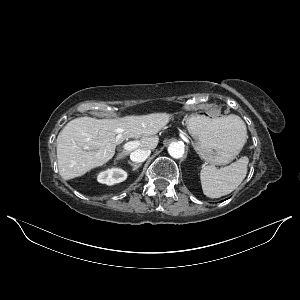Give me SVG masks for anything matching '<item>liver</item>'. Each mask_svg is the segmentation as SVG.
Listing matches in <instances>:
<instances>
[{"label": "liver", "instance_id": "obj_1", "mask_svg": "<svg viewBox=\"0 0 300 300\" xmlns=\"http://www.w3.org/2000/svg\"><path fill=\"white\" fill-rule=\"evenodd\" d=\"M228 119L232 117L226 116ZM167 114L126 116L118 119L80 117L70 121L57 137V162L60 175L69 180L102 166L115 154L116 145L125 139L141 137L139 148L155 149L157 133L167 125ZM130 152L119 153L116 160Z\"/></svg>", "mask_w": 300, "mask_h": 300}]
</instances>
